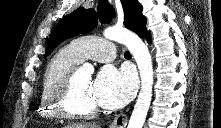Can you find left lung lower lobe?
Listing matches in <instances>:
<instances>
[{
  "mask_svg": "<svg viewBox=\"0 0 221 128\" xmlns=\"http://www.w3.org/2000/svg\"><path fill=\"white\" fill-rule=\"evenodd\" d=\"M144 36L146 37L147 41H149V42L151 41L150 40V32H147ZM144 36H142V37H144Z\"/></svg>",
  "mask_w": 221,
  "mask_h": 128,
  "instance_id": "1",
  "label": "left lung lower lobe"
}]
</instances>
